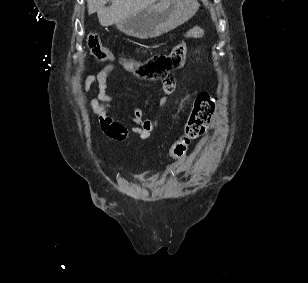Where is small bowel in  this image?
<instances>
[{"instance_id": "c3829d8e", "label": "small bowel", "mask_w": 308, "mask_h": 283, "mask_svg": "<svg viewBox=\"0 0 308 283\" xmlns=\"http://www.w3.org/2000/svg\"><path fill=\"white\" fill-rule=\"evenodd\" d=\"M114 71L112 65H106L99 72L89 74L84 81V90L88 92L91 86L96 83L98 93L95 98L89 102V109L105 136L113 140H124L127 138L129 131L137 134L141 139L150 137L154 128L158 124V119H148L144 117V112L141 108H136L131 114L132 125L130 128L116 122L112 119L109 112L113 108V96L107 92L109 74ZM164 95L159 101V106L162 108L166 101V96L172 93L174 86L163 85ZM197 166L192 159L178 167L179 172L190 173L195 171Z\"/></svg>"}]
</instances>
